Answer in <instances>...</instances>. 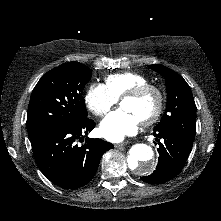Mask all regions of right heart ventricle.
I'll return each instance as SVG.
<instances>
[{"instance_id": "e07e8e85", "label": "right heart ventricle", "mask_w": 221, "mask_h": 221, "mask_svg": "<svg viewBox=\"0 0 221 221\" xmlns=\"http://www.w3.org/2000/svg\"><path fill=\"white\" fill-rule=\"evenodd\" d=\"M149 83L147 76L137 72H120L105 78V87L118 100L131 89Z\"/></svg>"}]
</instances>
